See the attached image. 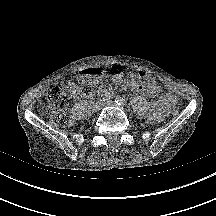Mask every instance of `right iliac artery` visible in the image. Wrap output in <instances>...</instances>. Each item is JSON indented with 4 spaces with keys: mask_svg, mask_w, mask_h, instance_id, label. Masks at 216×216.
<instances>
[{
    "mask_svg": "<svg viewBox=\"0 0 216 216\" xmlns=\"http://www.w3.org/2000/svg\"><path fill=\"white\" fill-rule=\"evenodd\" d=\"M112 96H113V92L112 91H108V92H106L105 94H104V96H103V101H106V100H109L110 98H112Z\"/></svg>",
    "mask_w": 216,
    "mask_h": 216,
    "instance_id": "1",
    "label": "right iliac artery"
}]
</instances>
